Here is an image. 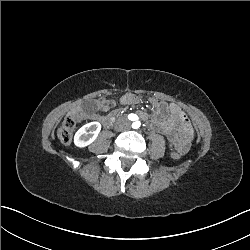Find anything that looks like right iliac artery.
Here are the masks:
<instances>
[{"mask_svg": "<svg viewBox=\"0 0 250 250\" xmlns=\"http://www.w3.org/2000/svg\"><path fill=\"white\" fill-rule=\"evenodd\" d=\"M136 118H137V115H135V114H130L129 115V119L132 120V121L135 120Z\"/></svg>", "mask_w": 250, "mask_h": 250, "instance_id": "right-iliac-artery-1", "label": "right iliac artery"}]
</instances>
